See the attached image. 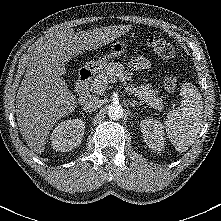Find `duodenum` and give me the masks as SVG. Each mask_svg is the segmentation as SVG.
<instances>
[{
    "label": "duodenum",
    "instance_id": "obj_1",
    "mask_svg": "<svg viewBox=\"0 0 221 221\" xmlns=\"http://www.w3.org/2000/svg\"><path fill=\"white\" fill-rule=\"evenodd\" d=\"M91 80L92 72L87 68L81 69L76 83V89L78 91V102L81 106L88 98V88Z\"/></svg>",
    "mask_w": 221,
    "mask_h": 221
}]
</instances>
